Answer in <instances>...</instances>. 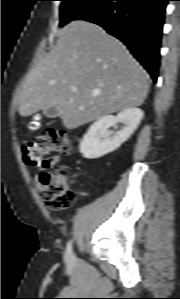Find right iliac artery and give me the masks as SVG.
<instances>
[{
	"instance_id": "82829eb1",
	"label": "right iliac artery",
	"mask_w": 180,
	"mask_h": 299,
	"mask_svg": "<svg viewBox=\"0 0 180 299\" xmlns=\"http://www.w3.org/2000/svg\"><path fill=\"white\" fill-rule=\"evenodd\" d=\"M66 253L67 255H71L72 254V241H69L67 246H66Z\"/></svg>"
}]
</instances>
